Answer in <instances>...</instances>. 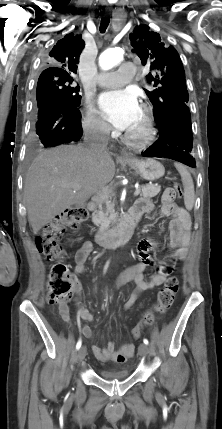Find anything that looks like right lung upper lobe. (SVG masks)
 <instances>
[{"instance_id":"cb5924a9","label":"right lung upper lobe","mask_w":222,"mask_h":429,"mask_svg":"<svg viewBox=\"0 0 222 429\" xmlns=\"http://www.w3.org/2000/svg\"><path fill=\"white\" fill-rule=\"evenodd\" d=\"M85 43L81 35L69 33L59 40L52 48L48 56L49 68L45 69L41 76H73L77 71L79 56Z\"/></svg>"}]
</instances>
